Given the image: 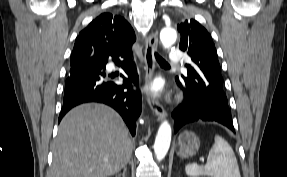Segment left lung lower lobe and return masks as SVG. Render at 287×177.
<instances>
[{
    "mask_svg": "<svg viewBox=\"0 0 287 177\" xmlns=\"http://www.w3.org/2000/svg\"><path fill=\"white\" fill-rule=\"evenodd\" d=\"M176 82L178 86L182 88L178 77H176ZM185 85V100L172 114L175 132L184 124L197 120L217 121L235 132L224 91L211 88L209 96L207 94H201L197 88H194L192 85Z\"/></svg>",
    "mask_w": 287,
    "mask_h": 177,
    "instance_id": "0a47b994",
    "label": "left lung lower lobe"
}]
</instances>
